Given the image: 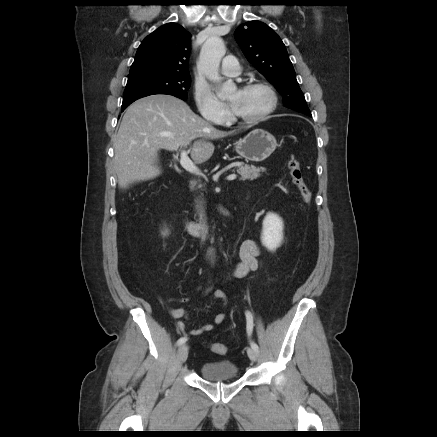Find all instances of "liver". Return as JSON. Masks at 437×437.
Wrapping results in <instances>:
<instances>
[{
  "label": "liver",
  "instance_id": "1",
  "mask_svg": "<svg viewBox=\"0 0 437 437\" xmlns=\"http://www.w3.org/2000/svg\"><path fill=\"white\" fill-rule=\"evenodd\" d=\"M237 131H221L196 115L182 100L170 95H150L132 103L125 111L114 142V169L120 189L156 178L155 164L160 149L176 151L190 147L195 164L214 153L209 139L223 138Z\"/></svg>",
  "mask_w": 437,
  "mask_h": 437
}]
</instances>
